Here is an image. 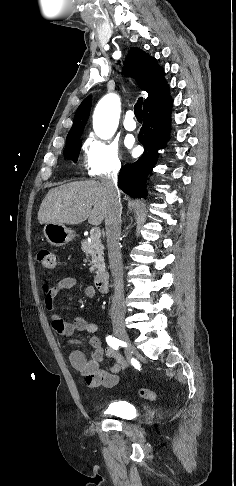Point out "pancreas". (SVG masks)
<instances>
[{
	"label": "pancreas",
	"mask_w": 236,
	"mask_h": 486,
	"mask_svg": "<svg viewBox=\"0 0 236 486\" xmlns=\"http://www.w3.org/2000/svg\"><path fill=\"white\" fill-rule=\"evenodd\" d=\"M81 249L87 257H91L90 272L99 274L105 271L103 256L104 246L102 245L100 238L91 237L90 242L87 240L81 241Z\"/></svg>",
	"instance_id": "pancreas-1"
}]
</instances>
